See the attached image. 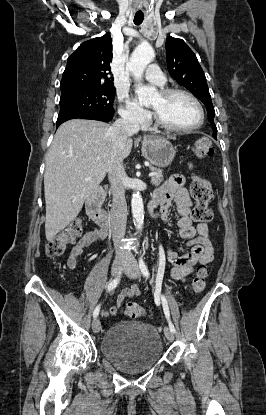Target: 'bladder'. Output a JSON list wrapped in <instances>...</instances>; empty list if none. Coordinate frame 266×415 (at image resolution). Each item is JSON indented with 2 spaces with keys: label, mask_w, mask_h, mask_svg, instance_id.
<instances>
[{
  "label": "bladder",
  "mask_w": 266,
  "mask_h": 415,
  "mask_svg": "<svg viewBox=\"0 0 266 415\" xmlns=\"http://www.w3.org/2000/svg\"><path fill=\"white\" fill-rule=\"evenodd\" d=\"M102 355L126 373L151 369L163 356V343L158 331L146 324H116L101 341Z\"/></svg>",
  "instance_id": "obj_1"
}]
</instances>
